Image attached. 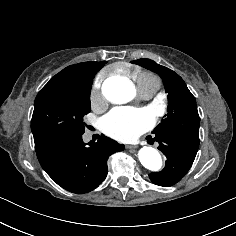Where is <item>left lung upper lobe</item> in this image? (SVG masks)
<instances>
[{"instance_id":"left-lung-upper-lobe-1","label":"left lung upper lobe","mask_w":236,"mask_h":236,"mask_svg":"<svg viewBox=\"0 0 236 236\" xmlns=\"http://www.w3.org/2000/svg\"><path fill=\"white\" fill-rule=\"evenodd\" d=\"M132 63L159 74L168 93L167 117L153 130L155 137H160L164 132L199 137L200 118L196 100L183 79L174 71L150 59H138Z\"/></svg>"}]
</instances>
